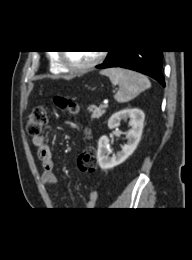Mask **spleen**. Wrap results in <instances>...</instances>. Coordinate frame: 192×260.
Returning a JSON list of instances; mask_svg holds the SVG:
<instances>
[{"label": "spleen", "mask_w": 192, "mask_h": 260, "mask_svg": "<svg viewBox=\"0 0 192 260\" xmlns=\"http://www.w3.org/2000/svg\"><path fill=\"white\" fill-rule=\"evenodd\" d=\"M100 73L108 76L113 85L119 86V90L114 96L119 103L129 102L142 91L151 87V83L146 76L131 70L108 68Z\"/></svg>", "instance_id": "obj_1"}]
</instances>
